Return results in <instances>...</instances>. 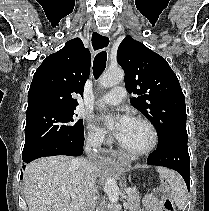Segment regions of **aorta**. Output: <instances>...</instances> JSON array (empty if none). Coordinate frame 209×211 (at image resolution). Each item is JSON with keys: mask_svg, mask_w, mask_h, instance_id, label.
<instances>
[{"mask_svg": "<svg viewBox=\"0 0 209 211\" xmlns=\"http://www.w3.org/2000/svg\"><path fill=\"white\" fill-rule=\"evenodd\" d=\"M124 80V71L121 68L108 69L99 78V85L103 88H109L121 83ZM104 191L110 202L115 204L119 199V189L117 182L113 178H107L105 181Z\"/></svg>", "mask_w": 209, "mask_h": 211, "instance_id": "1", "label": "aorta"}]
</instances>
